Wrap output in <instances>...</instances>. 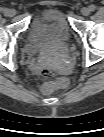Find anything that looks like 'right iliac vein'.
I'll list each match as a JSON object with an SVG mask.
<instances>
[{
  "label": "right iliac vein",
  "instance_id": "right-iliac-vein-1",
  "mask_svg": "<svg viewBox=\"0 0 104 137\" xmlns=\"http://www.w3.org/2000/svg\"><path fill=\"white\" fill-rule=\"evenodd\" d=\"M7 15L13 17L16 15V11L14 9H8Z\"/></svg>",
  "mask_w": 104,
  "mask_h": 137
}]
</instances>
